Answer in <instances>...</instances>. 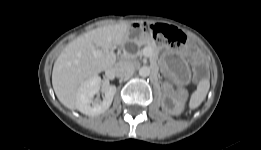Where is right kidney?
Instances as JSON below:
<instances>
[{
  "instance_id": "right-kidney-1",
  "label": "right kidney",
  "mask_w": 261,
  "mask_h": 150,
  "mask_svg": "<svg viewBox=\"0 0 261 150\" xmlns=\"http://www.w3.org/2000/svg\"><path fill=\"white\" fill-rule=\"evenodd\" d=\"M101 88V78L93 77L85 81L76 92L78 110L88 116H96L104 113L112 104L116 93L115 86H108L104 90L103 100L94 98Z\"/></svg>"
}]
</instances>
